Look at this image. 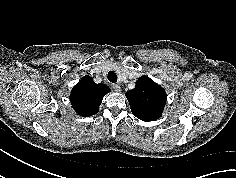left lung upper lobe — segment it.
<instances>
[{"instance_id":"5c2ea615","label":"left lung upper lobe","mask_w":236,"mask_h":178,"mask_svg":"<svg viewBox=\"0 0 236 178\" xmlns=\"http://www.w3.org/2000/svg\"><path fill=\"white\" fill-rule=\"evenodd\" d=\"M133 115L142 121L161 117L167 95L162 87L148 76H142L133 90L126 92Z\"/></svg>"}]
</instances>
